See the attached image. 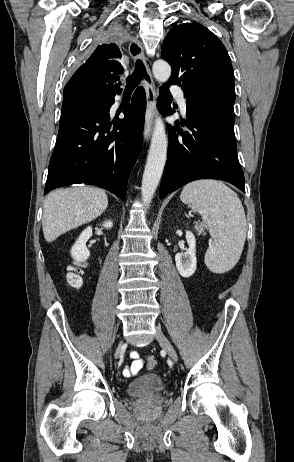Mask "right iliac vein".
Here are the masks:
<instances>
[{
  "label": "right iliac vein",
  "instance_id": "right-iliac-vein-1",
  "mask_svg": "<svg viewBox=\"0 0 294 462\" xmlns=\"http://www.w3.org/2000/svg\"><path fill=\"white\" fill-rule=\"evenodd\" d=\"M122 347H123V342L120 341L119 344H118V346H117V349H116V351H115V356H116V357L119 355L120 350H121Z\"/></svg>",
  "mask_w": 294,
  "mask_h": 462
}]
</instances>
